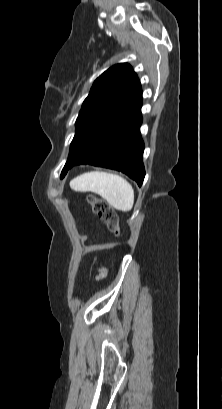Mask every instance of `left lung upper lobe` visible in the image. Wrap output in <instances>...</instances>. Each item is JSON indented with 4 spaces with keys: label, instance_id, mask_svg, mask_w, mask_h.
Segmentation results:
<instances>
[{
    "label": "left lung upper lobe",
    "instance_id": "1",
    "mask_svg": "<svg viewBox=\"0 0 222 409\" xmlns=\"http://www.w3.org/2000/svg\"><path fill=\"white\" fill-rule=\"evenodd\" d=\"M140 81L129 64H116L96 79L76 120V133L61 178L91 140L133 101H141Z\"/></svg>",
    "mask_w": 222,
    "mask_h": 409
}]
</instances>
